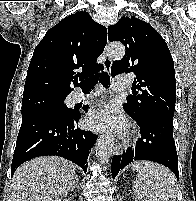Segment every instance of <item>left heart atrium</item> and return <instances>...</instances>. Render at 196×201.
Instances as JSON below:
<instances>
[{"instance_id": "39dd6f15", "label": "left heart atrium", "mask_w": 196, "mask_h": 201, "mask_svg": "<svg viewBox=\"0 0 196 201\" xmlns=\"http://www.w3.org/2000/svg\"><path fill=\"white\" fill-rule=\"evenodd\" d=\"M86 122L91 128L96 130L112 129L123 131L126 128L124 117L114 106H105L91 111L87 116Z\"/></svg>"}]
</instances>
